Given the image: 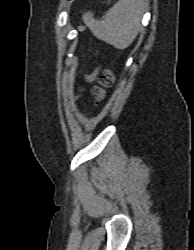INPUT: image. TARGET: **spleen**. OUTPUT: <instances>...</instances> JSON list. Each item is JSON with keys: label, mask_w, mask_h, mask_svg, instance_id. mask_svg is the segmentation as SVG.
Wrapping results in <instances>:
<instances>
[{"label": "spleen", "mask_w": 194, "mask_h": 250, "mask_svg": "<svg viewBox=\"0 0 194 250\" xmlns=\"http://www.w3.org/2000/svg\"><path fill=\"white\" fill-rule=\"evenodd\" d=\"M143 13V0H119L103 19L95 20L89 12L83 20L96 38L118 49H125L137 37Z\"/></svg>", "instance_id": "spleen-1"}]
</instances>
